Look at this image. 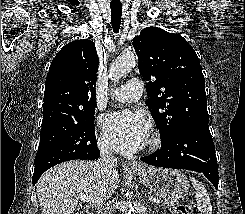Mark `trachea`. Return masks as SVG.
Returning <instances> with one entry per match:
<instances>
[{
	"label": "trachea",
	"mask_w": 245,
	"mask_h": 214,
	"mask_svg": "<svg viewBox=\"0 0 245 214\" xmlns=\"http://www.w3.org/2000/svg\"><path fill=\"white\" fill-rule=\"evenodd\" d=\"M111 20L114 33H118L121 25L122 4H110Z\"/></svg>",
	"instance_id": "3493384b"
}]
</instances>
